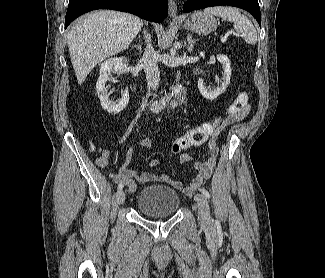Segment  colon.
<instances>
[{
  "label": "colon",
  "mask_w": 325,
  "mask_h": 278,
  "mask_svg": "<svg viewBox=\"0 0 325 278\" xmlns=\"http://www.w3.org/2000/svg\"><path fill=\"white\" fill-rule=\"evenodd\" d=\"M247 107V97L245 94H242L227 110L224 116H218L210 121L203 122L199 126L193 128V132L187 137L180 136L176 138L172 144V152L177 154L182 150L205 143L225 119L235 117L238 113L245 111Z\"/></svg>",
  "instance_id": "colon-1"
}]
</instances>
